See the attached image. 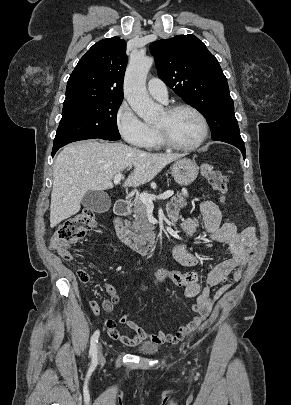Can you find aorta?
Wrapping results in <instances>:
<instances>
[{
  "instance_id": "obj_1",
  "label": "aorta",
  "mask_w": 291,
  "mask_h": 405,
  "mask_svg": "<svg viewBox=\"0 0 291 405\" xmlns=\"http://www.w3.org/2000/svg\"><path fill=\"white\" fill-rule=\"evenodd\" d=\"M154 59L139 53L131 56L124 79V96L134 112L145 122L157 119L160 107L146 91L147 74Z\"/></svg>"
}]
</instances>
